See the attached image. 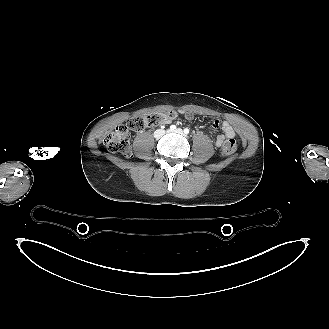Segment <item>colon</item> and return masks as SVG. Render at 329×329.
<instances>
[{
  "instance_id": "colon-1",
  "label": "colon",
  "mask_w": 329,
  "mask_h": 329,
  "mask_svg": "<svg viewBox=\"0 0 329 329\" xmlns=\"http://www.w3.org/2000/svg\"><path fill=\"white\" fill-rule=\"evenodd\" d=\"M176 117L174 112L148 113L131 117L127 122L119 124L113 131L104 138V145L113 153H118L125 158H130L132 149L130 144V131L139 132L149 127L158 126L167 120ZM237 148V141L234 138L226 139L221 145V154L232 155Z\"/></svg>"
}]
</instances>
